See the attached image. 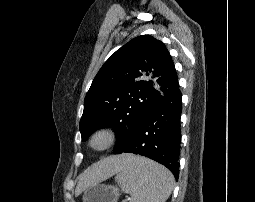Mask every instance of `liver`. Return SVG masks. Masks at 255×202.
<instances>
[{"label": "liver", "mask_w": 255, "mask_h": 202, "mask_svg": "<svg viewBox=\"0 0 255 202\" xmlns=\"http://www.w3.org/2000/svg\"><path fill=\"white\" fill-rule=\"evenodd\" d=\"M131 157L132 155L128 154L115 155L95 163L79 176L76 193L79 194L89 186L99 183L117 173Z\"/></svg>", "instance_id": "obj_1"}]
</instances>
